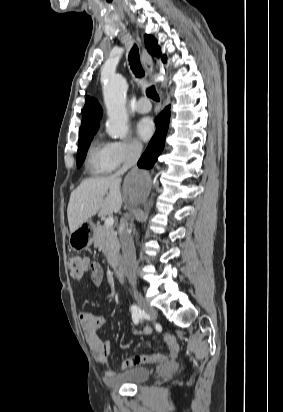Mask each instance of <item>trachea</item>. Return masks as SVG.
Segmentation results:
<instances>
[{
  "label": "trachea",
  "instance_id": "1",
  "mask_svg": "<svg viewBox=\"0 0 283 412\" xmlns=\"http://www.w3.org/2000/svg\"><path fill=\"white\" fill-rule=\"evenodd\" d=\"M128 59H129V64L131 66V69L133 73L135 74V76L137 78L143 77L145 73H144L143 67L140 62L139 50L136 45H134L133 48L131 49ZM146 95L155 101H159V95L157 94L154 86L147 88Z\"/></svg>",
  "mask_w": 283,
  "mask_h": 412
}]
</instances>
